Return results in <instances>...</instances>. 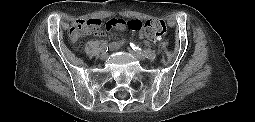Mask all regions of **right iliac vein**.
<instances>
[{"label":"right iliac vein","mask_w":255,"mask_h":122,"mask_svg":"<svg viewBox=\"0 0 255 122\" xmlns=\"http://www.w3.org/2000/svg\"><path fill=\"white\" fill-rule=\"evenodd\" d=\"M107 56H108V53H107L106 51H102V53H101V55H100V59H101V60H104V59L107 58Z\"/></svg>","instance_id":"1"}]
</instances>
